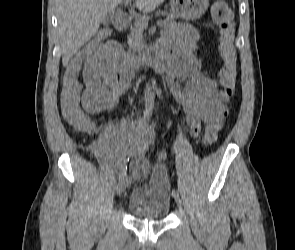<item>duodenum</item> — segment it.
<instances>
[{
	"label": "duodenum",
	"instance_id": "obj_1",
	"mask_svg": "<svg viewBox=\"0 0 295 250\" xmlns=\"http://www.w3.org/2000/svg\"><path fill=\"white\" fill-rule=\"evenodd\" d=\"M130 22L131 15L128 12H123L114 17L113 27L116 31L123 32L128 29ZM165 55L166 53L160 45L153 46L134 58L123 55L118 61L117 75L121 80H130L136 72L149 66H156L161 70L166 67Z\"/></svg>",
	"mask_w": 295,
	"mask_h": 250
}]
</instances>
